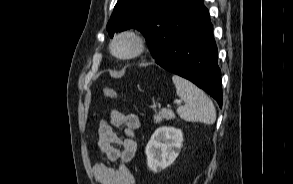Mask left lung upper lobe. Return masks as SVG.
<instances>
[{
	"label": "left lung upper lobe",
	"mask_w": 293,
	"mask_h": 184,
	"mask_svg": "<svg viewBox=\"0 0 293 184\" xmlns=\"http://www.w3.org/2000/svg\"><path fill=\"white\" fill-rule=\"evenodd\" d=\"M183 0H118L107 24L110 37L129 28L140 30L155 57L170 28L172 12Z\"/></svg>",
	"instance_id": "left-lung-upper-lobe-1"
}]
</instances>
